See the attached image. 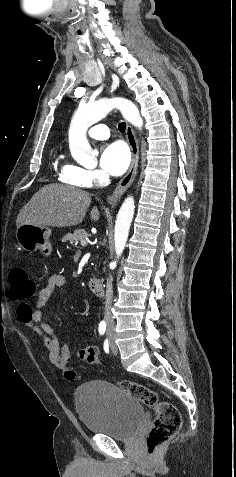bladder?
Returning a JSON list of instances; mask_svg holds the SVG:
<instances>
[{
  "instance_id": "1",
  "label": "bladder",
  "mask_w": 236,
  "mask_h": 477,
  "mask_svg": "<svg viewBox=\"0 0 236 477\" xmlns=\"http://www.w3.org/2000/svg\"><path fill=\"white\" fill-rule=\"evenodd\" d=\"M75 405L84 427L91 433L128 440L144 420L141 402L118 385L94 380L80 386Z\"/></svg>"
}]
</instances>
